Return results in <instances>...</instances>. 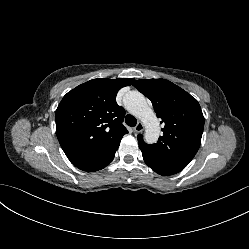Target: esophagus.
Listing matches in <instances>:
<instances>
[{"mask_svg": "<svg viewBox=\"0 0 249 249\" xmlns=\"http://www.w3.org/2000/svg\"><path fill=\"white\" fill-rule=\"evenodd\" d=\"M144 130V125L142 122H138L137 125L134 127V132L140 133Z\"/></svg>", "mask_w": 249, "mask_h": 249, "instance_id": "esophagus-1", "label": "esophagus"}]
</instances>
